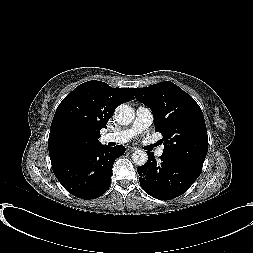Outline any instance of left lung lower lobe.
<instances>
[{
	"label": "left lung lower lobe",
	"instance_id": "obj_1",
	"mask_svg": "<svg viewBox=\"0 0 253 253\" xmlns=\"http://www.w3.org/2000/svg\"><path fill=\"white\" fill-rule=\"evenodd\" d=\"M148 161L137 168L140 185L150 196L170 200L185 193L202 171V165L193 161L162 154L157 162L150 152Z\"/></svg>",
	"mask_w": 253,
	"mask_h": 253
}]
</instances>
